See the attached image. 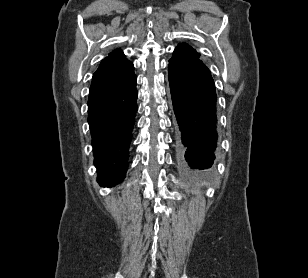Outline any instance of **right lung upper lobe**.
I'll return each instance as SVG.
<instances>
[{
    "mask_svg": "<svg viewBox=\"0 0 308 278\" xmlns=\"http://www.w3.org/2000/svg\"><path fill=\"white\" fill-rule=\"evenodd\" d=\"M133 69V64L125 58L123 52L116 49L101 62L93 75L90 89L119 85L130 77Z\"/></svg>",
    "mask_w": 308,
    "mask_h": 278,
    "instance_id": "obj_1",
    "label": "right lung upper lobe"
}]
</instances>
